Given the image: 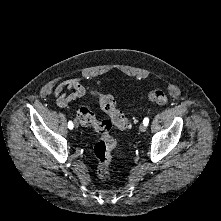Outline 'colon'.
Masks as SVG:
<instances>
[{"label": "colon", "instance_id": "obj_1", "mask_svg": "<svg viewBox=\"0 0 221 221\" xmlns=\"http://www.w3.org/2000/svg\"><path fill=\"white\" fill-rule=\"evenodd\" d=\"M102 110L109 116V120L97 121L94 114L87 108H79L76 116L78 121L87 126H92L100 135V140L94 145V154L97 158V172L100 178L106 179L109 176V169L112 160V153L116 147L115 139L110 135L112 125L119 129L131 128L134 118L123 114L116 107V102L111 95L96 94ZM151 102L165 105L168 103V96L164 91L152 90L148 94Z\"/></svg>", "mask_w": 221, "mask_h": 221}]
</instances>
